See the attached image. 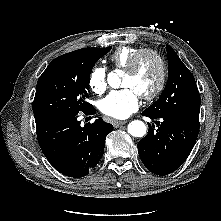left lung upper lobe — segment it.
<instances>
[{
    "mask_svg": "<svg viewBox=\"0 0 221 221\" xmlns=\"http://www.w3.org/2000/svg\"><path fill=\"white\" fill-rule=\"evenodd\" d=\"M168 82L159 99L144 111L155 118H198L200 95L195 79L171 46H167Z\"/></svg>",
    "mask_w": 221,
    "mask_h": 221,
    "instance_id": "obj_1",
    "label": "left lung upper lobe"
}]
</instances>
